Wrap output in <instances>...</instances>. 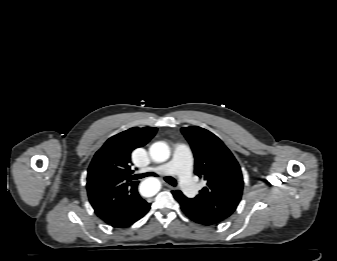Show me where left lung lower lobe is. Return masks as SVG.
Wrapping results in <instances>:
<instances>
[{
    "instance_id": "0a47b994",
    "label": "left lung lower lobe",
    "mask_w": 337,
    "mask_h": 261,
    "mask_svg": "<svg viewBox=\"0 0 337 261\" xmlns=\"http://www.w3.org/2000/svg\"><path fill=\"white\" fill-rule=\"evenodd\" d=\"M174 198L180 203L182 211L187 217L193 220L196 223H199L204 226H216L221 221L212 217L211 215L195 208L190 203H188L184 195L180 191H172Z\"/></svg>"
}]
</instances>
